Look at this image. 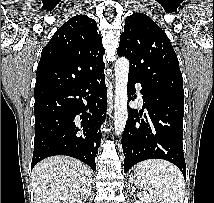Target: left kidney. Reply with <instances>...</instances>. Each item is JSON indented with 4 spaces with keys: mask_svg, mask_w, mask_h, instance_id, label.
<instances>
[{
    "mask_svg": "<svg viewBox=\"0 0 214 203\" xmlns=\"http://www.w3.org/2000/svg\"><path fill=\"white\" fill-rule=\"evenodd\" d=\"M135 203H143L142 201H135Z\"/></svg>",
    "mask_w": 214,
    "mask_h": 203,
    "instance_id": "left-kidney-1",
    "label": "left kidney"
}]
</instances>
